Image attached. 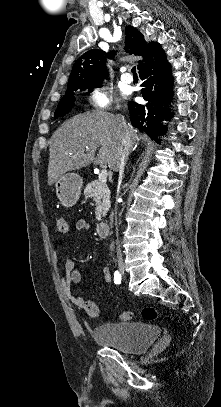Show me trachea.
<instances>
[{
	"label": "trachea",
	"mask_w": 221,
	"mask_h": 407,
	"mask_svg": "<svg viewBox=\"0 0 221 407\" xmlns=\"http://www.w3.org/2000/svg\"><path fill=\"white\" fill-rule=\"evenodd\" d=\"M132 73H133V75H137L135 66L132 68Z\"/></svg>",
	"instance_id": "3493384b"
}]
</instances>
